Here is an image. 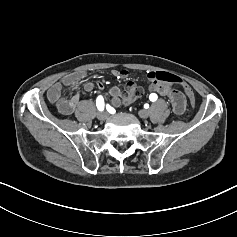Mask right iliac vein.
<instances>
[{
  "label": "right iliac vein",
  "instance_id": "obj_1",
  "mask_svg": "<svg viewBox=\"0 0 237 237\" xmlns=\"http://www.w3.org/2000/svg\"><path fill=\"white\" fill-rule=\"evenodd\" d=\"M97 118L99 120L103 121L107 118V113L106 112H100V113H98Z\"/></svg>",
  "mask_w": 237,
  "mask_h": 237
}]
</instances>
